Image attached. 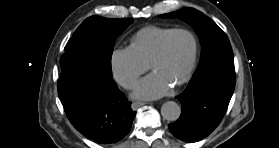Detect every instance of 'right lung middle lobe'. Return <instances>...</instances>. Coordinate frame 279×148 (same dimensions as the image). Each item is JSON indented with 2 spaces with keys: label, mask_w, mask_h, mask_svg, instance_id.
Instances as JSON below:
<instances>
[{
  "label": "right lung middle lobe",
  "mask_w": 279,
  "mask_h": 148,
  "mask_svg": "<svg viewBox=\"0 0 279 148\" xmlns=\"http://www.w3.org/2000/svg\"><path fill=\"white\" fill-rule=\"evenodd\" d=\"M133 22V19L91 16L77 28L66 47L84 45L94 50L104 72L111 75V56L116 38Z\"/></svg>",
  "instance_id": "1"
}]
</instances>
